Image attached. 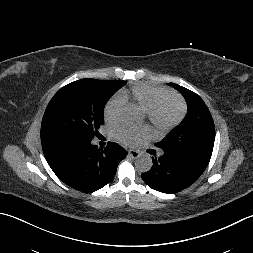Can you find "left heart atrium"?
Wrapping results in <instances>:
<instances>
[{"label":"left heart atrium","instance_id":"1","mask_svg":"<svg viewBox=\"0 0 253 253\" xmlns=\"http://www.w3.org/2000/svg\"><path fill=\"white\" fill-rule=\"evenodd\" d=\"M150 132L147 128H131L127 126L118 127L115 129L116 138L125 144H134L139 139L148 137Z\"/></svg>","mask_w":253,"mask_h":253}]
</instances>
